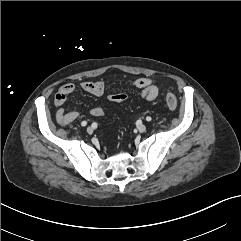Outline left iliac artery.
Instances as JSON below:
<instances>
[{
    "instance_id": "left-iliac-artery-1",
    "label": "left iliac artery",
    "mask_w": 241,
    "mask_h": 241,
    "mask_svg": "<svg viewBox=\"0 0 241 241\" xmlns=\"http://www.w3.org/2000/svg\"><path fill=\"white\" fill-rule=\"evenodd\" d=\"M146 120H147L148 122H150V121L152 120V118H151L150 116H147V117H146Z\"/></svg>"
}]
</instances>
